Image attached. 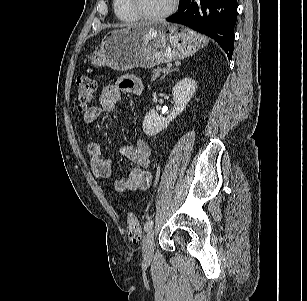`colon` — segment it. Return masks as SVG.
I'll return each instance as SVG.
<instances>
[{"mask_svg": "<svg viewBox=\"0 0 307 301\" xmlns=\"http://www.w3.org/2000/svg\"><path fill=\"white\" fill-rule=\"evenodd\" d=\"M97 92V82L89 75H81L77 78L76 93L79 108L84 110L94 100ZM129 235L138 237L140 233L139 224L132 211L127 212Z\"/></svg>", "mask_w": 307, "mask_h": 301, "instance_id": "obj_1", "label": "colon"}]
</instances>
